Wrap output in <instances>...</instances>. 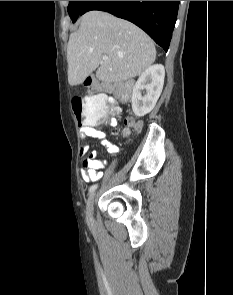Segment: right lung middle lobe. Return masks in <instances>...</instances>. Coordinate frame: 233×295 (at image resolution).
<instances>
[{
    "label": "right lung middle lobe",
    "instance_id": "obj_1",
    "mask_svg": "<svg viewBox=\"0 0 233 295\" xmlns=\"http://www.w3.org/2000/svg\"><path fill=\"white\" fill-rule=\"evenodd\" d=\"M86 1H69L68 13L72 22H76Z\"/></svg>",
    "mask_w": 233,
    "mask_h": 295
}]
</instances>
